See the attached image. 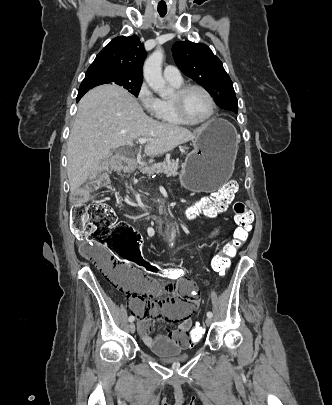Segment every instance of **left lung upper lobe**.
Segmentation results:
<instances>
[{
    "instance_id": "5c2ea615",
    "label": "left lung upper lobe",
    "mask_w": 332,
    "mask_h": 405,
    "mask_svg": "<svg viewBox=\"0 0 332 405\" xmlns=\"http://www.w3.org/2000/svg\"><path fill=\"white\" fill-rule=\"evenodd\" d=\"M173 58L178 68L202 85L220 108L238 112V102L233 83L222 62L211 49L202 43L179 41L172 46Z\"/></svg>"
}]
</instances>
